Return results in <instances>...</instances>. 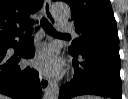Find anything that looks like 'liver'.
Listing matches in <instances>:
<instances>
[{
    "mask_svg": "<svg viewBox=\"0 0 128 99\" xmlns=\"http://www.w3.org/2000/svg\"><path fill=\"white\" fill-rule=\"evenodd\" d=\"M0 99H9V98L0 94Z\"/></svg>",
    "mask_w": 128,
    "mask_h": 99,
    "instance_id": "obj_1",
    "label": "liver"
}]
</instances>
